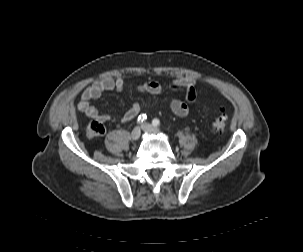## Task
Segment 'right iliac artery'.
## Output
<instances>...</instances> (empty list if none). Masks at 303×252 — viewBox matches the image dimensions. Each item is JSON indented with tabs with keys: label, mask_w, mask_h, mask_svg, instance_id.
Wrapping results in <instances>:
<instances>
[{
	"label": "right iliac artery",
	"mask_w": 303,
	"mask_h": 252,
	"mask_svg": "<svg viewBox=\"0 0 303 252\" xmlns=\"http://www.w3.org/2000/svg\"><path fill=\"white\" fill-rule=\"evenodd\" d=\"M147 119L146 114H141L139 115L138 119H137V123H142L143 121H145Z\"/></svg>",
	"instance_id": "obj_1"
}]
</instances>
